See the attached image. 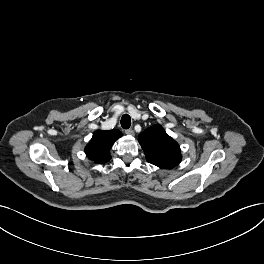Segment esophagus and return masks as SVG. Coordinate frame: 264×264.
<instances>
[{
  "label": "esophagus",
  "instance_id": "esophagus-1",
  "mask_svg": "<svg viewBox=\"0 0 264 264\" xmlns=\"http://www.w3.org/2000/svg\"><path fill=\"white\" fill-rule=\"evenodd\" d=\"M125 133H126L127 135H134V131H133V129H126V130H125Z\"/></svg>",
  "mask_w": 264,
  "mask_h": 264
}]
</instances>
